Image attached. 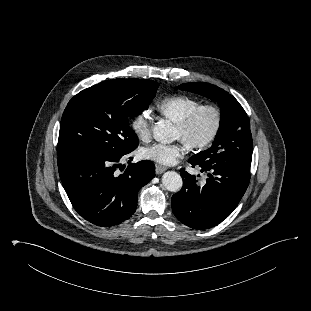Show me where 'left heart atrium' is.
Returning a JSON list of instances; mask_svg holds the SVG:
<instances>
[{
    "mask_svg": "<svg viewBox=\"0 0 311 311\" xmlns=\"http://www.w3.org/2000/svg\"><path fill=\"white\" fill-rule=\"evenodd\" d=\"M185 153V144L154 143L141 149V156L163 165H171Z\"/></svg>",
    "mask_w": 311,
    "mask_h": 311,
    "instance_id": "left-heart-atrium-1",
    "label": "left heart atrium"
}]
</instances>
